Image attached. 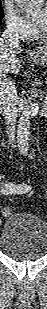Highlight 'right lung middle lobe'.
Segmentation results:
<instances>
[{
	"instance_id": "1",
	"label": "right lung middle lobe",
	"mask_w": 47,
	"mask_h": 309,
	"mask_svg": "<svg viewBox=\"0 0 47 309\" xmlns=\"http://www.w3.org/2000/svg\"><path fill=\"white\" fill-rule=\"evenodd\" d=\"M3 18V13H2V9H1V5H0V20Z\"/></svg>"
}]
</instances>
